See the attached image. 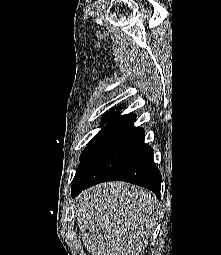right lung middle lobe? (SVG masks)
<instances>
[{
  "mask_svg": "<svg viewBox=\"0 0 221 255\" xmlns=\"http://www.w3.org/2000/svg\"><path fill=\"white\" fill-rule=\"evenodd\" d=\"M113 111H114V110H112V111L106 113V114L102 117V122H106V121L111 117V115L113 114ZM93 139H94V138H93ZM93 139L89 142L88 146L91 144V142L93 141ZM86 150H87V149H86ZM86 150L83 151V153H82V155H81L80 158L83 157V155L85 154Z\"/></svg>",
  "mask_w": 221,
  "mask_h": 255,
  "instance_id": "obj_1",
  "label": "right lung middle lobe"
}]
</instances>
